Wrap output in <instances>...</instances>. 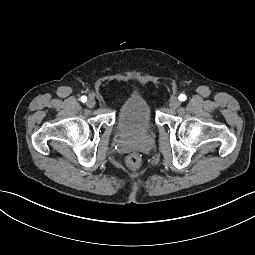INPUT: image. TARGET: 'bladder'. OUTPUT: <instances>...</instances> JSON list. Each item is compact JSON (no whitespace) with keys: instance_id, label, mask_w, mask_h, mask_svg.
Masks as SVG:
<instances>
[{"instance_id":"31cf9c89","label":"bladder","mask_w":255,"mask_h":255,"mask_svg":"<svg viewBox=\"0 0 255 255\" xmlns=\"http://www.w3.org/2000/svg\"><path fill=\"white\" fill-rule=\"evenodd\" d=\"M151 126V110L148 103L138 93L131 95L119 111L116 130L122 134H140L148 132Z\"/></svg>"}]
</instances>
